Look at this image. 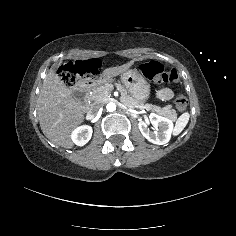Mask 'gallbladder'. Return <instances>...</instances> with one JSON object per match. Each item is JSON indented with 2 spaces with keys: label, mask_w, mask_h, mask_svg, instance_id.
Instances as JSON below:
<instances>
[{
  "label": "gallbladder",
  "mask_w": 236,
  "mask_h": 236,
  "mask_svg": "<svg viewBox=\"0 0 236 236\" xmlns=\"http://www.w3.org/2000/svg\"><path fill=\"white\" fill-rule=\"evenodd\" d=\"M63 64H64V63L61 62V61L55 63L54 66H53V67H54V71H57L59 68H61V67L63 66Z\"/></svg>",
  "instance_id": "1"
}]
</instances>
